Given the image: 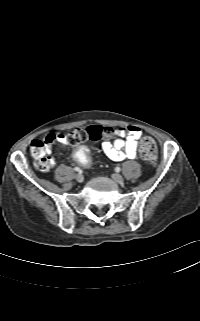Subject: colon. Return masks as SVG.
<instances>
[{
  "instance_id": "obj_1",
  "label": "colon",
  "mask_w": 200,
  "mask_h": 321,
  "mask_svg": "<svg viewBox=\"0 0 200 321\" xmlns=\"http://www.w3.org/2000/svg\"><path fill=\"white\" fill-rule=\"evenodd\" d=\"M114 134L110 127L100 125H88L78 127L67 134L69 142L73 145L79 144L86 140H99L107 138ZM51 138L44 140H34L31 143L30 151L35 159L36 167L41 171H48L52 167L51 160L46 156L47 144ZM139 152L141 158L149 165H154L157 161V147L154 140L150 137H144L140 142ZM73 158L76 162L87 166L90 163L89 150L84 145H78L73 150Z\"/></svg>"
}]
</instances>
